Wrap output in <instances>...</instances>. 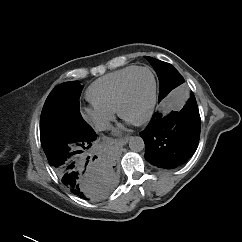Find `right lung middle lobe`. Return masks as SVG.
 <instances>
[{
    "mask_svg": "<svg viewBox=\"0 0 242 242\" xmlns=\"http://www.w3.org/2000/svg\"><path fill=\"white\" fill-rule=\"evenodd\" d=\"M83 87L79 81L62 83L47 97L40 119V139L44 152L60 142L92 131L79 109Z\"/></svg>",
    "mask_w": 242,
    "mask_h": 242,
    "instance_id": "obj_1",
    "label": "right lung middle lobe"
}]
</instances>
